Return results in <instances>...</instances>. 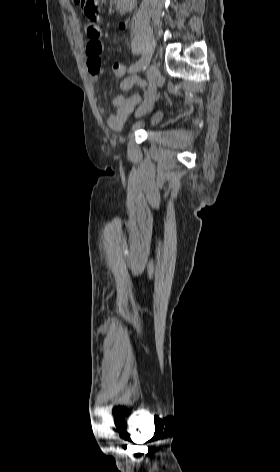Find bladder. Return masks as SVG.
<instances>
[{
  "label": "bladder",
  "instance_id": "1",
  "mask_svg": "<svg viewBox=\"0 0 280 472\" xmlns=\"http://www.w3.org/2000/svg\"><path fill=\"white\" fill-rule=\"evenodd\" d=\"M161 118H162L161 113L159 112L154 113L152 116H150L148 120V125L150 127L155 126L161 120Z\"/></svg>",
  "mask_w": 280,
  "mask_h": 472
}]
</instances>
